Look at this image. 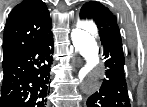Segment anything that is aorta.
Listing matches in <instances>:
<instances>
[{
	"label": "aorta",
	"instance_id": "762f6f07",
	"mask_svg": "<svg viewBox=\"0 0 147 107\" xmlns=\"http://www.w3.org/2000/svg\"><path fill=\"white\" fill-rule=\"evenodd\" d=\"M96 33L95 25L88 22L79 24L71 33L75 49L86 61V64L79 71L81 89L86 94L97 91L105 76L104 63L98 59Z\"/></svg>",
	"mask_w": 147,
	"mask_h": 107
}]
</instances>
